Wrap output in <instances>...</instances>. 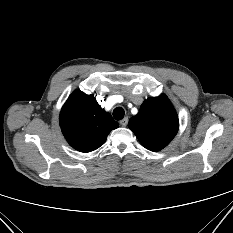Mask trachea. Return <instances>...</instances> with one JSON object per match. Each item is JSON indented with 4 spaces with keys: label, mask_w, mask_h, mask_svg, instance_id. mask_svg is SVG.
<instances>
[{
    "label": "trachea",
    "mask_w": 233,
    "mask_h": 233,
    "mask_svg": "<svg viewBox=\"0 0 233 233\" xmlns=\"http://www.w3.org/2000/svg\"><path fill=\"white\" fill-rule=\"evenodd\" d=\"M124 109L122 107H117L113 111V116L116 120H121L124 117Z\"/></svg>",
    "instance_id": "obj_1"
}]
</instances>
